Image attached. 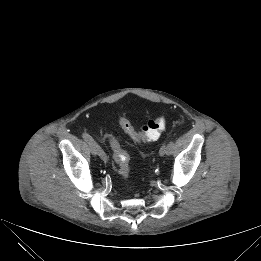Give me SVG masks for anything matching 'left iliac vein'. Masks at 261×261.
<instances>
[{
	"label": "left iliac vein",
	"mask_w": 261,
	"mask_h": 261,
	"mask_svg": "<svg viewBox=\"0 0 261 261\" xmlns=\"http://www.w3.org/2000/svg\"><path fill=\"white\" fill-rule=\"evenodd\" d=\"M165 154H167V145H163L159 150L160 156H164Z\"/></svg>",
	"instance_id": "1"
}]
</instances>
